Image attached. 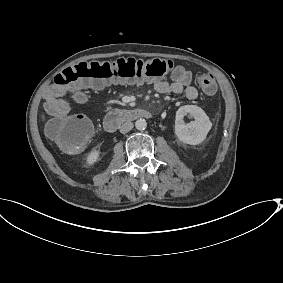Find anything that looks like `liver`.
<instances>
[{
    "label": "liver",
    "instance_id": "obj_1",
    "mask_svg": "<svg viewBox=\"0 0 283 283\" xmlns=\"http://www.w3.org/2000/svg\"><path fill=\"white\" fill-rule=\"evenodd\" d=\"M41 120H42L43 123H46V121H47V117H46V114H45L44 111L41 112Z\"/></svg>",
    "mask_w": 283,
    "mask_h": 283
}]
</instances>
